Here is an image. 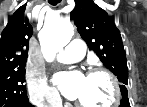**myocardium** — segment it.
<instances>
[{"mask_svg": "<svg viewBox=\"0 0 147 107\" xmlns=\"http://www.w3.org/2000/svg\"><path fill=\"white\" fill-rule=\"evenodd\" d=\"M96 75L104 76L109 81L111 85V89H112L111 101L103 106H96V107H114L116 106L119 103L120 96H121L120 85H119L117 78L111 72L101 67H94L90 69L87 74V77H92ZM76 105L78 107H93V106L86 105L79 101H76Z\"/></svg>", "mask_w": 147, "mask_h": 107, "instance_id": "obj_1", "label": "myocardium"}]
</instances>
